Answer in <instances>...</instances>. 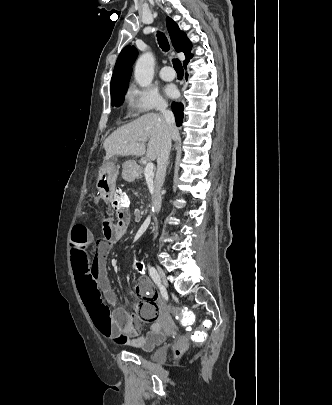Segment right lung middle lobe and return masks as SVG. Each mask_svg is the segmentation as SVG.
I'll return each mask as SVG.
<instances>
[{
    "label": "right lung middle lobe",
    "mask_w": 332,
    "mask_h": 405,
    "mask_svg": "<svg viewBox=\"0 0 332 405\" xmlns=\"http://www.w3.org/2000/svg\"><path fill=\"white\" fill-rule=\"evenodd\" d=\"M129 81L123 82L111 88V104L119 107L124 99Z\"/></svg>",
    "instance_id": "obj_1"
}]
</instances>
